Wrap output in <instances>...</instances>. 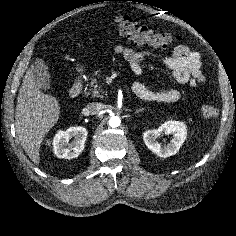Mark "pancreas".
Here are the masks:
<instances>
[{"mask_svg":"<svg viewBox=\"0 0 236 236\" xmlns=\"http://www.w3.org/2000/svg\"><path fill=\"white\" fill-rule=\"evenodd\" d=\"M102 75L100 73V71H96L94 73V75L91 77V81H90V89L89 91L86 92V95H91L92 97H99V98H103L104 95V91L102 89V85L100 84L101 79H102Z\"/></svg>","mask_w":236,"mask_h":236,"instance_id":"cf45deb5","label":"pancreas"}]
</instances>
